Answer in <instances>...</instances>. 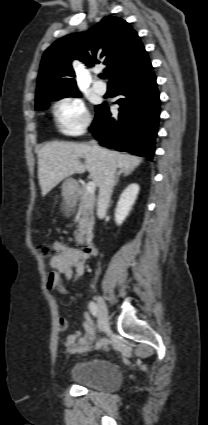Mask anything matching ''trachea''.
Here are the masks:
<instances>
[{"mask_svg":"<svg viewBox=\"0 0 208 425\" xmlns=\"http://www.w3.org/2000/svg\"><path fill=\"white\" fill-rule=\"evenodd\" d=\"M99 76H100V78L105 79V75L104 74H100Z\"/></svg>","mask_w":208,"mask_h":425,"instance_id":"1","label":"trachea"}]
</instances>
